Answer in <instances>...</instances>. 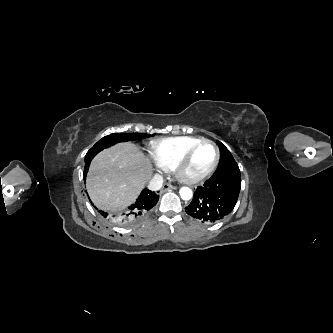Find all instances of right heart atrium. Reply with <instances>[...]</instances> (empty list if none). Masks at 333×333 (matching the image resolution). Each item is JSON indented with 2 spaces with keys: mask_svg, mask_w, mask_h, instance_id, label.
Here are the masks:
<instances>
[{
  "mask_svg": "<svg viewBox=\"0 0 333 333\" xmlns=\"http://www.w3.org/2000/svg\"><path fill=\"white\" fill-rule=\"evenodd\" d=\"M153 160H154L155 167L159 170H163L164 167L158 162V160L155 157L153 158Z\"/></svg>",
  "mask_w": 333,
  "mask_h": 333,
  "instance_id": "right-heart-atrium-1",
  "label": "right heart atrium"
}]
</instances>
